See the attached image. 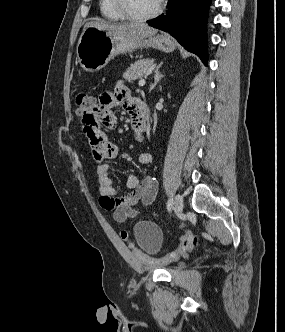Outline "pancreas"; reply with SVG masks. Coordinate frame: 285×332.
<instances>
[{
	"instance_id": "1",
	"label": "pancreas",
	"mask_w": 285,
	"mask_h": 332,
	"mask_svg": "<svg viewBox=\"0 0 285 332\" xmlns=\"http://www.w3.org/2000/svg\"><path fill=\"white\" fill-rule=\"evenodd\" d=\"M152 64V59L138 60L127 68L126 72L123 74V78L126 81L132 83L136 79L145 76L148 73Z\"/></svg>"
}]
</instances>
